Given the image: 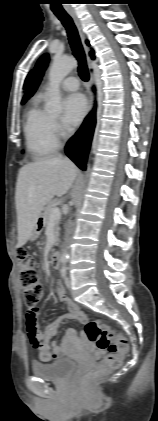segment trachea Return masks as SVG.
<instances>
[{
  "instance_id": "3493384b",
  "label": "trachea",
  "mask_w": 158,
  "mask_h": 421,
  "mask_svg": "<svg viewBox=\"0 0 158 421\" xmlns=\"http://www.w3.org/2000/svg\"><path fill=\"white\" fill-rule=\"evenodd\" d=\"M57 18L61 21L65 27L69 39L70 46L73 51V55L78 60V73L83 81L89 80L88 68L85 60V54L80 42L77 28L72 18L67 13H55Z\"/></svg>"
}]
</instances>
